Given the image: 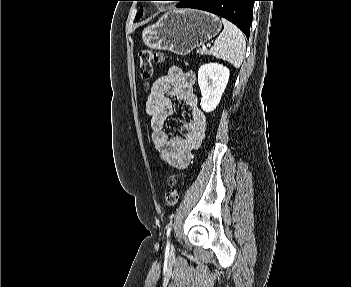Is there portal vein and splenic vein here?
<instances>
[{
	"label": "portal vein and splenic vein",
	"mask_w": 351,
	"mask_h": 287,
	"mask_svg": "<svg viewBox=\"0 0 351 287\" xmlns=\"http://www.w3.org/2000/svg\"><path fill=\"white\" fill-rule=\"evenodd\" d=\"M207 46H210V44H208ZM206 47L205 46H203V49H205Z\"/></svg>",
	"instance_id": "18ae733b"
}]
</instances>
